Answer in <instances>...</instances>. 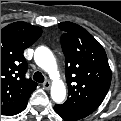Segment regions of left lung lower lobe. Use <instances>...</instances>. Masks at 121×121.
I'll list each match as a JSON object with an SVG mask.
<instances>
[{"label": "left lung lower lobe", "mask_w": 121, "mask_h": 121, "mask_svg": "<svg viewBox=\"0 0 121 121\" xmlns=\"http://www.w3.org/2000/svg\"><path fill=\"white\" fill-rule=\"evenodd\" d=\"M54 110H55V112H56L59 116L62 117V115L58 112V109H57L56 105H55V107H54ZM62 118H63V117H62Z\"/></svg>", "instance_id": "obj_1"}]
</instances>
